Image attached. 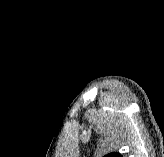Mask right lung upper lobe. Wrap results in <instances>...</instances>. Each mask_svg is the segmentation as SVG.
<instances>
[{
    "instance_id": "cb5924a9",
    "label": "right lung upper lobe",
    "mask_w": 164,
    "mask_h": 157,
    "mask_svg": "<svg viewBox=\"0 0 164 157\" xmlns=\"http://www.w3.org/2000/svg\"><path fill=\"white\" fill-rule=\"evenodd\" d=\"M103 157H123V156L121 154H119V153L113 152V153L107 154V155H105Z\"/></svg>"
}]
</instances>
